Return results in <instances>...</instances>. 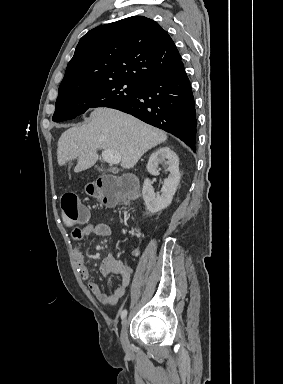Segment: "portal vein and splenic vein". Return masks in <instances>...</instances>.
<instances>
[{
    "mask_svg": "<svg viewBox=\"0 0 283 384\" xmlns=\"http://www.w3.org/2000/svg\"><path fill=\"white\" fill-rule=\"evenodd\" d=\"M102 158L108 164H119L121 162V156L116 150H103Z\"/></svg>",
    "mask_w": 283,
    "mask_h": 384,
    "instance_id": "18ae733b",
    "label": "portal vein and splenic vein"
}]
</instances>
